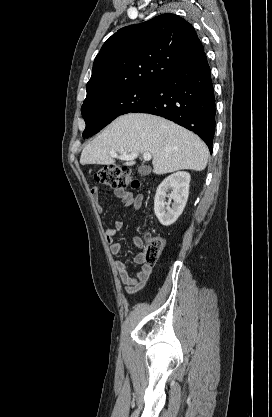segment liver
Returning <instances> with one entry per match:
<instances>
[{
    "label": "liver",
    "instance_id": "1",
    "mask_svg": "<svg viewBox=\"0 0 272 417\" xmlns=\"http://www.w3.org/2000/svg\"><path fill=\"white\" fill-rule=\"evenodd\" d=\"M110 151L150 153L153 173L157 175L184 169L202 171L209 158L207 146L197 135L167 119L143 113L115 119L83 149L80 163L114 164ZM134 164V160L125 163L127 166Z\"/></svg>",
    "mask_w": 272,
    "mask_h": 417
}]
</instances>
